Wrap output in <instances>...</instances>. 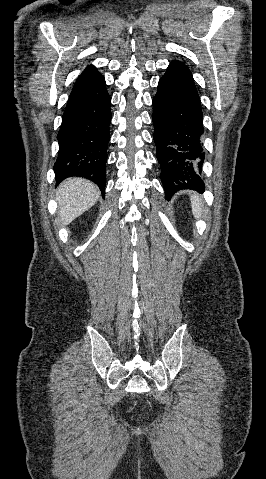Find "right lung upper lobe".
<instances>
[{"label": "right lung upper lobe", "instance_id": "cb5924a9", "mask_svg": "<svg viewBox=\"0 0 266 479\" xmlns=\"http://www.w3.org/2000/svg\"><path fill=\"white\" fill-rule=\"evenodd\" d=\"M98 73L99 72L97 71V69L93 65H90L83 71V73L79 76V78L90 77Z\"/></svg>", "mask_w": 266, "mask_h": 479}]
</instances>
